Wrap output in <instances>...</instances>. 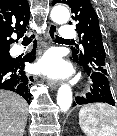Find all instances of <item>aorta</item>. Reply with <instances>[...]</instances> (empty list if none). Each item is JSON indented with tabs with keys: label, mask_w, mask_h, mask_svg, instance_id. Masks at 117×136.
Listing matches in <instances>:
<instances>
[{
	"label": "aorta",
	"mask_w": 117,
	"mask_h": 136,
	"mask_svg": "<svg viewBox=\"0 0 117 136\" xmlns=\"http://www.w3.org/2000/svg\"><path fill=\"white\" fill-rule=\"evenodd\" d=\"M70 18L69 10L64 6H55L51 11V19L57 24H65ZM57 104L62 111H67L72 104V90L67 84L60 86L57 94Z\"/></svg>",
	"instance_id": "762f6f07"
}]
</instances>
